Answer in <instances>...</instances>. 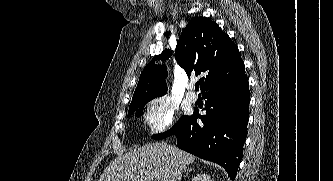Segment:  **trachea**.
I'll return each instance as SVG.
<instances>
[{
    "label": "trachea",
    "mask_w": 333,
    "mask_h": 181,
    "mask_svg": "<svg viewBox=\"0 0 333 181\" xmlns=\"http://www.w3.org/2000/svg\"><path fill=\"white\" fill-rule=\"evenodd\" d=\"M195 90H196V91L199 90V84H198V83L195 84Z\"/></svg>",
    "instance_id": "3493384b"
}]
</instances>
